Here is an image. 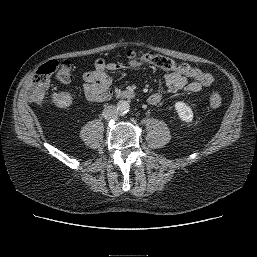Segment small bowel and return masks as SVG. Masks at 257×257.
<instances>
[{
  "label": "small bowel",
  "instance_id": "small-bowel-1",
  "mask_svg": "<svg viewBox=\"0 0 257 257\" xmlns=\"http://www.w3.org/2000/svg\"><path fill=\"white\" fill-rule=\"evenodd\" d=\"M145 64L144 61H136L130 64L131 69H139ZM122 69V65L116 62L107 63L103 59H98L95 62V69L86 72L84 79V93L88 100L99 102L108 99L111 96V79L109 72H117ZM163 86L168 93H175L178 91L185 92H199L204 86L197 80H193L178 72L170 71L163 78ZM163 98L162 91H155L148 97L150 105H157Z\"/></svg>",
  "mask_w": 257,
  "mask_h": 257
}]
</instances>
